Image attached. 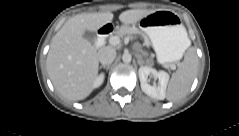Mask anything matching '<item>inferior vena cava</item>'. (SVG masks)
I'll list each match as a JSON object with an SVG mask.
<instances>
[{
	"mask_svg": "<svg viewBox=\"0 0 239 136\" xmlns=\"http://www.w3.org/2000/svg\"><path fill=\"white\" fill-rule=\"evenodd\" d=\"M116 57V50L110 46L102 47L98 51V60L102 65L111 64Z\"/></svg>",
	"mask_w": 239,
	"mask_h": 136,
	"instance_id": "1",
	"label": "inferior vena cava"
}]
</instances>
